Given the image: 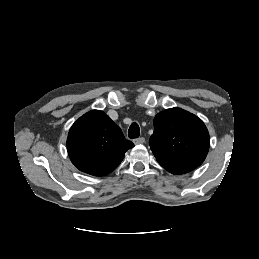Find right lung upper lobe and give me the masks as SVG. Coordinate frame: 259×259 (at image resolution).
<instances>
[{"label": "right lung upper lobe", "mask_w": 259, "mask_h": 259, "mask_svg": "<svg viewBox=\"0 0 259 259\" xmlns=\"http://www.w3.org/2000/svg\"><path fill=\"white\" fill-rule=\"evenodd\" d=\"M134 145L121 129L102 111L92 110L70 128L67 150L72 163L94 176L111 173Z\"/></svg>", "instance_id": "right-lung-upper-lobe-1"}]
</instances>
